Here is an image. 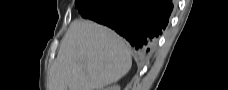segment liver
<instances>
[{
    "label": "liver",
    "mask_w": 228,
    "mask_h": 90,
    "mask_svg": "<svg viewBox=\"0 0 228 90\" xmlns=\"http://www.w3.org/2000/svg\"><path fill=\"white\" fill-rule=\"evenodd\" d=\"M132 66L127 43L115 32L88 20H74L49 73L48 90H102Z\"/></svg>",
    "instance_id": "6515ba94"
}]
</instances>
